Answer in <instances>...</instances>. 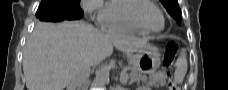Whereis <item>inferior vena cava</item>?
I'll use <instances>...</instances> for the list:
<instances>
[{"instance_id": "inferior-vena-cava-1", "label": "inferior vena cava", "mask_w": 228, "mask_h": 90, "mask_svg": "<svg viewBox=\"0 0 228 90\" xmlns=\"http://www.w3.org/2000/svg\"><path fill=\"white\" fill-rule=\"evenodd\" d=\"M90 74V66L82 64L79 66L71 79V86L74 90H86L88 86V77Z\"/></svg>"}]
</instances>
